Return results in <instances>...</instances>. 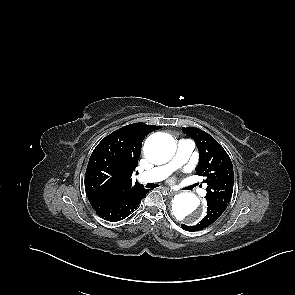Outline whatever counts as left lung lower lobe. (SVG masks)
<instances>
[{
    "mask_svg": "<svg viewBox=\"0 0 295 295\" xmlns=\"http://www.w3.org/2000/svg\"><path fill=\"white\" fill-rule=\"evenodd\" d=\"M207 215L196 225L187 226L182 224V228L186 231H199L214 223L227 208V204L208 201Z\"/></svg>",
    "mask_w": 295,
    "mask_h": 295,
    "instance_id": "left-lung-lower-lobe-1",
    "label": "left lung lower lobe"
}]
</instances>
